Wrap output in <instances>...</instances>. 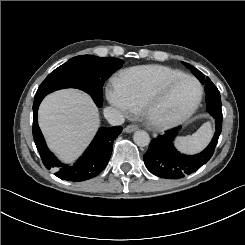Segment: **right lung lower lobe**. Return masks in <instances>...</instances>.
<instances>
[{
    "instance_id": "obj_1",
    "label": "right lung lower lobe",
    "mask_w": 245,
    "mask_h": 245,
    "mask_svg": "<svg viewBox=\"0 0 245 245\" xmlns=\"http://www.w3.org/2000/svg\"><path fill=\"white\" fill-rule=\"evenodd\" d=\"M44 97L34 98L33 138L43 164L53 169L55 175L63 180L84 181L97 176L108 164L112 154L113 142L122 131L121 126L101 128L85 153L74 165L62 164L47 148L37 123V111Z\"/></svg>"
}]
</instances>
